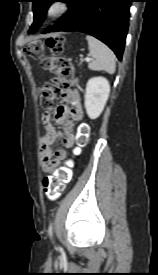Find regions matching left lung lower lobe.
I'll use <instances>...</instances> for the list:
<instances>
[{
    "instance_id": "1",
    "label": "left lung lower lobe",
    "mask_w": 158,
    "mask_h": 275,
    "mask_svg": "<svg viewBox=\"0 0 158 275\" xmlns=\"http://www.w3.org/2000/svg\"><path fill=\"white\" fill-rule=\"evenodd\" d=\"M132 0H66L69 10L43 33L80 31L108 45L122 59Z\"/></svg>"
}]
</instances>
